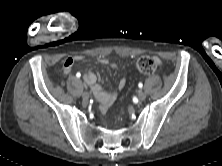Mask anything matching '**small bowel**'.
Returning a JSON list of instances; mask_svg holds the SVG:
<instances>
[{
  "instance_id": "small-bowel-1",
  "label": "small bowel",
  "mask_w": 222,
  "mask_h": 166,
  "mask_svg": "<svg viewBox=\"0 0 222 166\" xmlns=\"http://www.w3.org/2000/svg\"><path fill=\"white\" fill-rule=\"evenodd\" d=\"M83 59H84L83 56L68 57L64 61V65H63L64 73L68 74L72 70L75 62L83 60ZM99 62L101 64H108L109 63L108 60L105 58L99 59ZM110 65L112 68L117 67V65L115 63H111ZM83 78H84L85 83L91 88L96 99L100 102L101 111L106 112L107 109L115 101L116 96H117L116 92L107 91V90L103 89L102 86L97 83V76L92 71H86L83 75ZM125 85H126L125 78H121L118 82V89L119 90L123 89L125 87Z\"/></svg>"
}]
</instances>
